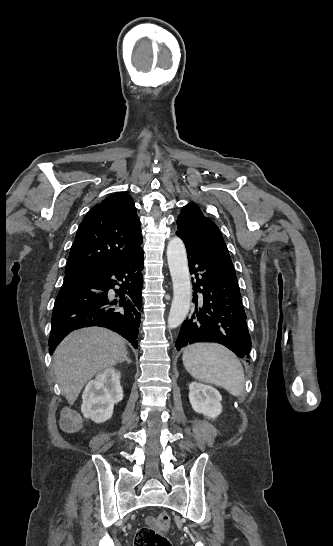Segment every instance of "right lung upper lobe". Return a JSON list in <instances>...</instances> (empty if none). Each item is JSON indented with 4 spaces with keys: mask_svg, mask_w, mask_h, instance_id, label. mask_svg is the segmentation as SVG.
Wrapping results in <instances>:
<instances>
[{
    "mask_svg": "<svg viewBox=\"0 0 333 546\" xmlns=\"http://www.w3.org/2000/svg\"><path fill=\"white\" fill-rule=\"evenodd\" d=\"M140 221L132 197L117 193L83 218L66 263L75 274L133 259L142 248Z\"/></svg>",
    "mask_w": 333,
    "mask_h": 546,
    "instance_id": "1",
    "label": "right lung upper lobe"
}]
</instances>
